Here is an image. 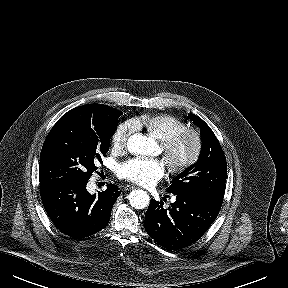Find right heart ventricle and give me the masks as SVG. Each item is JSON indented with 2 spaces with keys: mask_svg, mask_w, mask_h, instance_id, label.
I'll use <instances>...</instances> for the list:
<instances>
[{
  "mask_svg": "<svg viewBox=\"0 0 288 288\" xmlns=\"http://www.w3.org/2000/svg\"><path fill=\"white\" fill-rule=\"evenodd\" d=\"M133 124L137 128H144L153 137L162 140L186 127V123L171 114L143 115L134 119Z\"/></svg>",
  "mask_w": 288,
  "mask_h": 288,
  "instance_id": "right-heart-ventricle-1",
  "label": "right heart ventricle"
}]
</instances>
